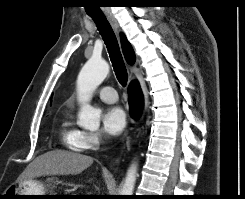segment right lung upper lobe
<instances>
[{
	"mask_svg": "<svg viewBox=\"0 0 245 199\" xmlns=\"http://www.w3.org/2000/svg\"><path fill=\"white\" fill-rule=\"evenodd\" d=\"M120 38H121V45H122V49H123V53L126 58V61L129 64H133L135 62L134 51L123 33H121Z\"/></svg>",
	"mask_w": 245,
	"mask_h": 199,
	"instance_id": "obj_1",
	"label": "right lung upper lobe"
}]
</instances>
